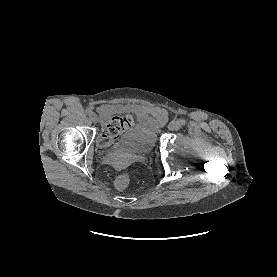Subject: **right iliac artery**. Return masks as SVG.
<instances>
[{"instance_id": "1", "label": "right iliac artery", "mask_w": 277, "mask_h": 277, "mask_svg": "<svg viewBox=\"0 0 277 277\" xmlns=\"http://www.w3.org/2000/svg\"><path fill=\"white\" fill-rule=\"evenodd\" d=\"M85 112H86V114H87V115H91V114L93 113V112H92V110H91V109H89V108H88V109H86V111H85Z\"/></svg>"}]
</instances>
